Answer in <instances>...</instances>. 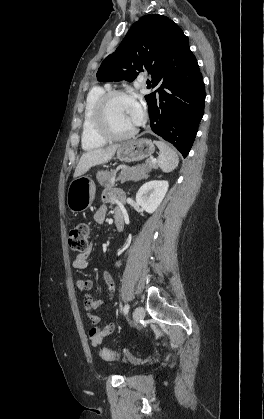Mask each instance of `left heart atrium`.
<instances>
[{"instance_id": "39dd6f15", "label": "left heart atrium", "mask_w": 264, "mask_h": 419, "mask_svg": "<svg viewBox=\"0 0 264 419\" xmlns=\"http://www.w3.org/2000/svg\"><path fill=\"white\" fill-rule=\"evenodd\" d=\"M131 115L135 125L142 123L144 119V107L138 98H131Z\"/></svg>"}]
</instances>
